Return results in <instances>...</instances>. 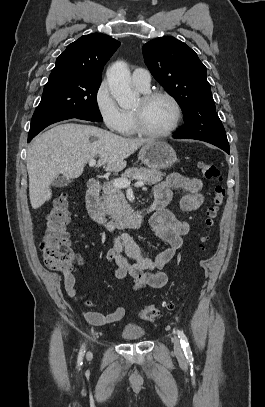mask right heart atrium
<instances>
[{
  "label": "right heart atrium",
  "mask_w": 265,
  "mask_h": 407,
  "mask_svg": "<svg viewBox=\"0 0 265 407\" xmlns=\"http://www.w3.org/2000/svg\"><path fill=\"white\" fill-rule=\"evenodd\" d=\"M94 103L105 126L111 131L120 132L125 121L124 111L115 101L106 80L96 88Z\"/></svg>",
  "instance_id": "obj_1"
}]
</instances>
